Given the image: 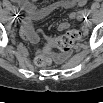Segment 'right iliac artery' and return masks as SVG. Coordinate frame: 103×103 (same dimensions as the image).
Segmentation results:
<instances>
[{"label":"right iliac artery","mask_w":103,"mask_h":103,"mask_svg":"<svg viewBox=\"0 0 103 103\" xmlns=\"http://www.w3.org/2000/svg\"><path fill=\"white\" fill-rule=\"evenodd\" d=\"M11 11H12L13 13H16V12L18 11V8L15 7V6H13V7L11 8Z\"/></svg>","instance_id":"obj_1"}]
</instances>
